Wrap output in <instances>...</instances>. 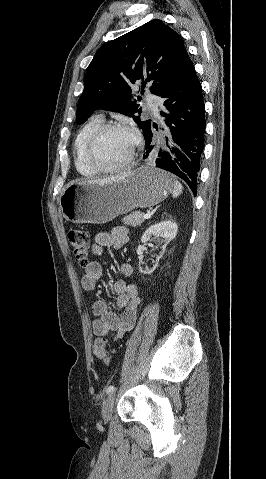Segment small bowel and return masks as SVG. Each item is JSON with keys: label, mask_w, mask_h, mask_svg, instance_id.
<instances>
[{"label": "small bowel", "mask_w": 266, "mask_h": 479, "mask_svg": "<svg viewBox=\"0 0 266 479\" xmlns=\"http://www.w3.org/2000/svg\"><path fill=\"white\" fill-rule=\"evenodd\" d=\"M127 229L116 228L112 232H100L94 236L92 252L94 255H101L103 248L112 246L116 249L122 248L127 242ZM132 266L128 263L120 265V279L112 284L116 294V305L122 311L116 313L110 311L107 302L103 299L96 300L92 304V313L96 319L92 323L93 333L97 336H112L114 340H120L123 335L131 331L136 323L137 310L141 303L140 290L135 284L126 282L132 274ZM103 275V268L97 261L91 262L85 267L81 278V285L85 291H93L97 281Z\"/></svg>", "instance_id": "obj_1"}]
</instances>
